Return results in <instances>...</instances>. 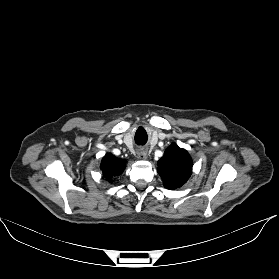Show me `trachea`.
<instances>
[{
	"instance_id": "1",
	"label": "trachea",
	"mask_w": 279,
	"mask_h": 279,
	"mask_svg": "<svg viewBox=\"0 0 279 279\" xmlns=\"http://www.w3.org/2000/svg\"><path fill=\"white\" fill-rule=\"evenodd\" d=\"M136 143H137V144H141L139 141H137V137H136Z\"/></svg>"
}]
</instances>
